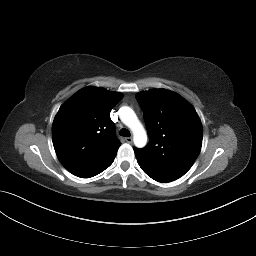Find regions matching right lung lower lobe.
Here are the masks:
<instances>
[{"instance_id":"98d812e1","label":"right lung lower lobe","mask_w":256,"mask_h":256,"mask_svg":"<svg viewBox=\"0 0 256 256\" xmlns=\"http://www.w3.org/2000/svg\"><path fill=\"white\" fill-rule=\"evenodd\" d=\"M114 158H112V159H110V160H108V161H106L104 163H101V164H98V165H95V166H92V167H88V168L79 170V171L74 172L72 174H74V175H76L78 177H81V178L93 177V176L101 173L102 171H104L106 168H108L113 163Z\"/></svg>"}]
</instances>
